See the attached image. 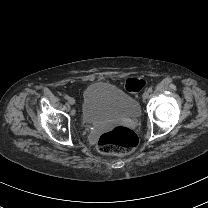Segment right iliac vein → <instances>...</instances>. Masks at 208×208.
Segmentation results:
<instances>
[{
	"label": "right iliac vein",
	"mask_w": 208,
	"mask_h": 208,
	"mask_svg": "<svg viewBox=\"0 0 208 208\" xmlns=\"http://www.w3.org/2000/svg\"><path fill=\"white\" fill-rule=\"evenodd\" d=\"M69 104L74 105L75 104V99L74 98H70L68 100Z\"/></svg>",
	"instance_id": "obj_1"
}]
</instances>
